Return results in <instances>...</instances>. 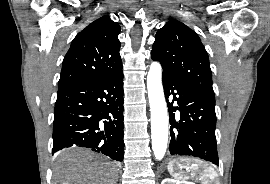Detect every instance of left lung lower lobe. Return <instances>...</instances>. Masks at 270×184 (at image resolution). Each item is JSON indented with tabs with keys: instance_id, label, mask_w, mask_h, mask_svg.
I'll return each instance as SVG.
<instances>
[{
	"instance_id": "left-lung-lower-lobe-1",
	"label": "left lung lower lobe",
	"mask_w": 270,
	"mask_h": 184,
	"mask_svg": "<svg viewBox=\"0 0 270 184\" xmlns=\"http://www.w3.org/2000/svg\"><path fill=\"white\" fill-rule=\"evenodd\" d=\"M162 81L166 100L172 99L167 103L171 124L169 153L192 156L218 166L215 100L173 72L163 69ZM177 110L180 115L175 118L173 112Z\"/></svg>"
}]
</instances>
